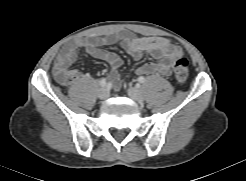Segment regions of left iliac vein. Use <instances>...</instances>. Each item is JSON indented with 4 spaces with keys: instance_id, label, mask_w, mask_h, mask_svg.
Masks as SVG:
<instances>
[{
    "instance_id": "4c4485c4",
    "label": "left iliac vein",
    "mask_w": 246,
    "mask_h": 181,
    "mask_svg": "<svg viewBox=\"0 0 246 181\" xmlns=\"http://www.w3.org/2000/svg\"><path fill=\"white\" fill-rule=\"evenodd\" d=\"M128 96L133 99L134 101H137L138 103H142L144 101V95L141 90L135 87H130L127 89Z\"/></svg>"
}]
</instances>
